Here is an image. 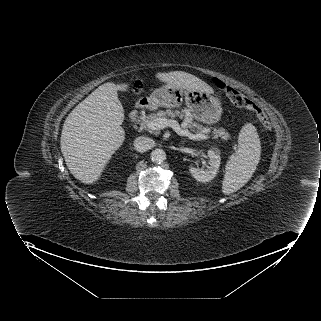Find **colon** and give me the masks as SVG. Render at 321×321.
I'll list each match as a JSON object with an SVG mask.
<instances>
[{
  "label": "colon",
  "mask_w": 321,
  "mask_h": 321,
  "mask_svg": "<svg viewBox=\"0 0 321 321\" xmlns=\"http://www.w3.org/2000/svg\"><path fill=\"white\" fill-rule=\"evenodd\" d=\"M214 83L219 90L225 93V95L228 97V99L231 101L232 104H234L237 107H241V108H245L253 111L256 114L260 123L264 126V128L267 130L271 129V122L267 114L263 109L257 106L251 99L244 96L242 93H240L233 87L228 86L226 83H224L220 79H215Z\"/></svg>",
  "instance_id": "colon-1"
}]
</instances>
